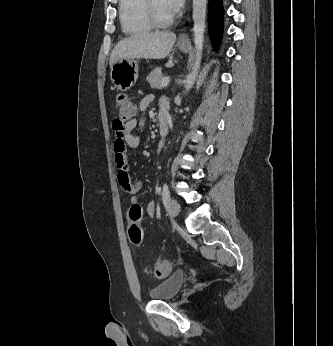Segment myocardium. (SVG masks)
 <instances>
[{
	"label": "myocardium",
	"instance_id": "1",
	"mask_svg": "<svg viewBox=\"0 0 333 346\" xmlns=\"http://www.w3.org/2000/svg\"><path fill=\"white\" fill-rule=\"evenodd\" d=\"M145 3H146V10H147L148 16L153 25L157 27H166V26H169L173 22L174 20L173 15L168 17H161L158 14L153 0H145Z\"/></svg>",
	"mask_w": 333,
	"mask_h": 346
}]
</instances>
